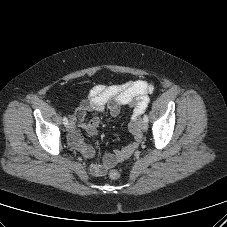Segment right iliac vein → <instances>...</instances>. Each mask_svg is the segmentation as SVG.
<instances>
[{
  "label": "right iliac vein",
  "instance_id": "right-iliac-vein-1",
  "mask_svg": "<svg viewBox=\"0 0 227 227\" xmlns=\"http://www.w3.org/2000/svg\"><path fill=\"white\" fill-rule=\"evenodd\" d=\"M67 130L70 132L74 129V123L71 121L66 126Z\"/></svg>",
  "mask_w": 227,
  "mask_h": 227
}]
</instances>
